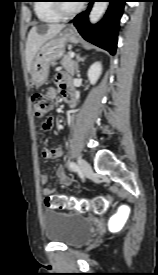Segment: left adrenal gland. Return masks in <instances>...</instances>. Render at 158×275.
I'll use <instances>...</instances> for the list:
<instances>
[{
	"instance_id": "1",
	"label": "left adrenal gland",
	"mask_w": 158,
	"mask_h": 275,
	"mask_svg": "<svg viewBox=\"0 0 158 275\" xmlns=\"http://www.w3.org/2000/svg\"><path fill=\"white\" fill-rule=\"evenodd\" d=\"M76 58H77V63H76V71H75V72L78 73V72H79L78 63H79V62H83V61L85 60L86 57H81L80 54H77V55H76Z\"/></svg>"
}]
</instances>
